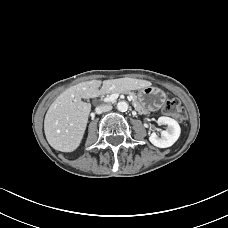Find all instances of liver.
Returning a JSON list of instances; mask_svg holds the SVG:
<instances>
[{
    "instance_id": "liver-1",
    "label": "liver",
    "mask_w": 228,
    "mask_h": 228,
    "mask_svg": "<svg viewBox=\"0 0 228 228\" xmlns=\"http://www.w3.org/2000/svg\"><path fill=\"white\" fill-rule=\"evenodd\" d=\"M103 85L101 90L99 87ZM151 86L150 81L141 79H112L101 82L91 80L76 84L63 93L50 105L44 120V132L50 146L61 152L76 150L85 133L91 104L81 99H89L102 93L137 90Z\"/></svg>"
}]
</instances>
